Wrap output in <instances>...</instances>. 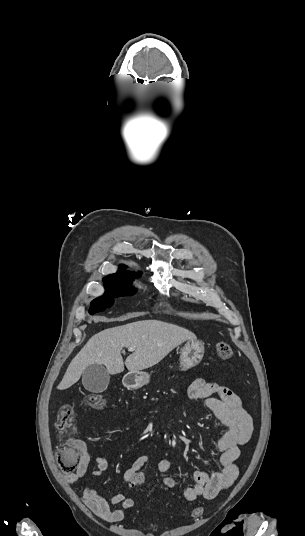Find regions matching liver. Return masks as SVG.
<instances>
[{
    "label": "liver",
    "instance_id": "liver-1",
    "mask_svg": "<svg viewBox=\"0 0 305 536\" xmlns=\"http://www.w3.org/2000/svg\"><path fill=\"white\" fill-rule=\"evenodd\" d=\"M186 340H196L195 334L159 320H142L126 326L108 328L88 340L69 364L57 388H71L91 364H103L108 374H121L124 372V364L131 374L152 368ZM122 348H135L125 362L121 356Z\"/></svg>",
    "mask_w": 305,
    "mask_h": 536
}]
</instances>
